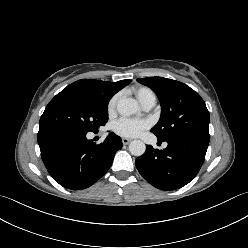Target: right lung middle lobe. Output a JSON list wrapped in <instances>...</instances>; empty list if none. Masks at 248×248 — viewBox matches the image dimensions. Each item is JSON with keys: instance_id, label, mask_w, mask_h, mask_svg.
<instances>
[{"instance_id": "1", "label": "right lung middle lobe", "mask_w": 248, "mask_h": 248, "mask_svg": "<svg viewBox=\"0 0 248 248\" xmlns=\"http://www.w3.org/2000/svg\"><path fill=\"white\" fill-rule=\"evenodd\" d=\"M107 107L108 104L62 90L46 106L39 129L58 128L87 134L108 121Z\"/></svg>"}]
</instances>
